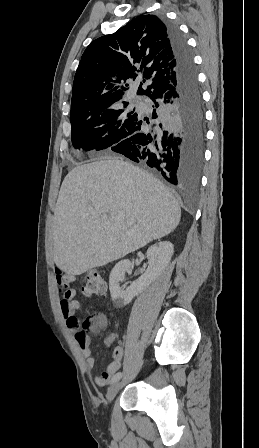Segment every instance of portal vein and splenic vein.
Segmentation results:
<instances>
[{"label": "portal vein and splenic vein", "instance_id": "1", "mask_svg": "<svg viewBox=\"0 0 259 448\" xmlns=\"http://www.w3.org/2000/svg\"><path fill=\"white\" fill-rule=\"evenodd\" d=\"M90 214L91 216H95L96 212H94V210H90ZM101 220H108L107 214H102Z\"/></svg>", "mask_w": 259, "mask_h": 448}]
</instances>
